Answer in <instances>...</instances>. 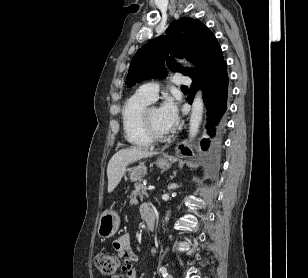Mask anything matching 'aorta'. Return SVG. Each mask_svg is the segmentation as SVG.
I'll return each instance as SVG.
<instances>
[{"mask_svg": "<svg viewBox=\"0 0 308 278\" xmlns=\"http://www.w3.org/2000/svg\"><path fill=\"white\" fill-rule=\"evenodd\" d=\"M203 107H204V103L202 99V93L198 91L192 103V110H191L190 122H189L190 138H194L199 131V127H200L202 116H203ZM168 216H169V212L167 213V216L165 218L166 221L168 220Z\"/></svg>", "mask_w": 308, "mask_h": 278, "instance_id": "762f6f07", "label": "aorta"}]
</instances>
